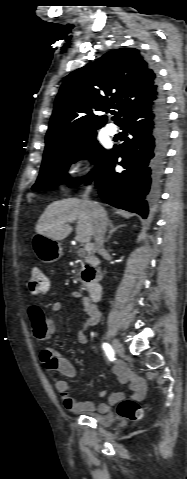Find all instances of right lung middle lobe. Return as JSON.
Returning a JSON list of instances; mask_svg holds the SVG:
<instances>
[{
    "mask_svg": "<svg viewBox=\"0 0 187 479\" xmlns=\"http://www.w3.org/2000/svg\"><path fill=\"white\" fill-rule=\"evenodd\" d=\"M108 153L109 150L97 143L96 132L89 133L73 143L45 150L41 171L32 189L47 190L66 180L69 166L81 158L94 161L97 169L104 163ZM87 177L75 179L71 185L76 187Z\"/></svg>",
    "mask_w": 187,
    "mask_h": 479,
    "instance_id": "1",
    "label": "right lung middle lobe"
}]
</instances>
